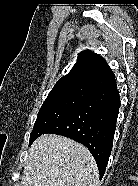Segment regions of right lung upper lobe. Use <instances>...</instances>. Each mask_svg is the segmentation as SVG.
Here are the masks:
<instances>
[{"label":"right lung upper lobe","mask_w":138,"mask_h":186,"mask_svg":"<svg viewBox=\"0 0 138 186\" xmlns=\"http://www.w3.org/2000/svg\"><path fill=\"white\" fill-rule=\"evenodd\" d=\"M71 86L91 90L112 89L116 87V80L104 58L85 50L78 55V60L71 71L58 80L53 90Z\"/></svg>","instance_id":"1"}]
</instances>
